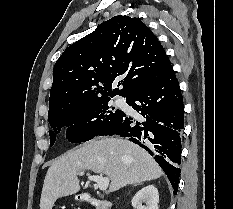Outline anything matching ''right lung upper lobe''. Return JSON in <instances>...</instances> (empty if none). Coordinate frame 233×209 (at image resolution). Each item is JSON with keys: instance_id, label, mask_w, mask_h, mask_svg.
<instances>
[{"instance_id": "obj_1", "label": "right lung upper lobe", "mask_w": 233, "mask_h": 209, "mask_svg": "<svg viewBox=\"0 0 233 209\" xmlns=\"http://www.w3.org/2000/svg\"><path fill=\"white\" fill-rule=\"evenodd\" d=\"M172 67L153 32L139 19L115 16L70 45L53 69L49 113L155 84ZM119 78L122 89L111 90Z\"/></svg>"}]
</instances>
